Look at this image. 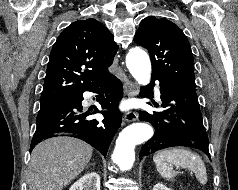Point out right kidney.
<instances>
[{
  "mask_svg": "<svg viewBox=\"0 0 238 190\" xmlns=\"http://www.w3.org/2000/svg\"><path fill=\"white\" fill-rule=\"evenodd\" d=\"M69 190H100V176L96 172L85 174Z\"/></svg>",
  "mask_w": 238,
  "mask_h": 190,
  "instance_id": "right-kidney-1",
  "label": "right kidney"
}]
</instances>
